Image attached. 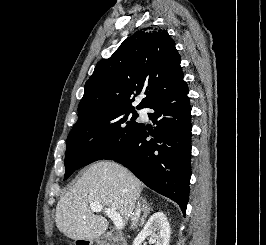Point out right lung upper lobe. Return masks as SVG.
Returning a JSON list of instances; mask_svg holds the SVG:
<instances>
[{
    "instance_id": "cb5924a9",
    "label": "right lung upper lobe",
    "mask_w": 266,
    "mask_h": 245,
    "mask_svg": "<svg viewBox=\"0 0 266 245\" xmlns=\"http://www.w3.org/2000/svg\"><path fill=\"white\" fill-rule=\"evenodd\" d=\"M180 62L175 42L166 30L145 28L135 32L109 59L96 65L85 84L79 119L112 108H134L131 103L143 90L147 95L137 108H146L183 81Z\"/></svg>"
}]
</instances>
